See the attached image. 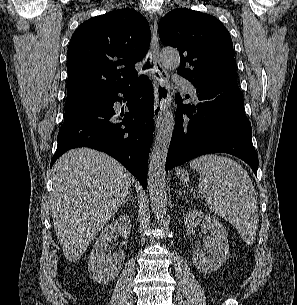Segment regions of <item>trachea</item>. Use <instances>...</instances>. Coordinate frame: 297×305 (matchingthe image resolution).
I'll use <instances>...</instances> for the list:
<instances>
[{"mask_svg": "<svg viewBox=\"0 0 297 305\" xmlns=\"http://www.w3.org/2000/svg\"><path fill=\"white\" fill-rule=\"evenodd\" d=\"M145 68L151 67L150 62L148 61L147 64L144 66Z\"/></svg>", "mask_w": 297, "mask_h": 305, "instance_id": "trachea-1", "label": "trachea"}]
</instances>
